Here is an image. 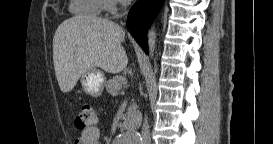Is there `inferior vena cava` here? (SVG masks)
<instances>
[{
	"label": "inferior vena cava",
	"instance_id": "obj_1",
	"mask_svg": "<svg viewBox=\"0 0 273 144\" xmlns=\"http://www.w3.org/2000/svg\"><path fill=\"white\" fill-rule=\"evenodd\" d=\"M120 4L126 8V1L121 0ZM142 144H150L151 143V138H150V130H149V125H148V121H147V117H145L144 119V123L142 126V140H141Z\"/></svg>",
	"mask_w": 273,
	"mask_h": 144
}]
</instances>
